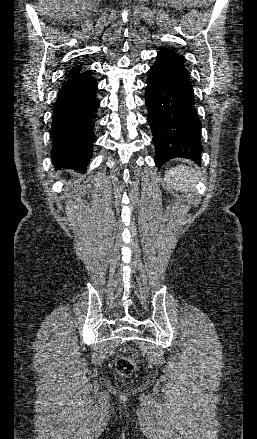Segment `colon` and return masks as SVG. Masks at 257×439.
<instances>
[{"mask_svg":"<svg viewBox=\"0 0 257 439\" xmlns=\"http://www.w3.org/2000/svg\"><path fill=\"white\" fill-rule=\"evenodd\" d=\"M116 370L123 376H130L135 369L134 357H119L115 362Z\"/></svg>","mask_w":257,"mask_h":439,"instance_id":"5ec220e1","label":"colon"}]
</instances>
